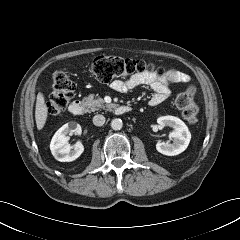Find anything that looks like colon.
Masks as SVG:
<instances>
[{
	"label": "colon",
	"instance_id": "obj_1",
	"mask_svg": "<svg viewBox=\"0 0 240 240\" xmlns=\"http://www.w3.org/2000/svg\"><path fill=\"white\" fill-rule=\"evenodd\" d=\"M92 75L101 83H110L114 79L128 78L142 73H157L170 78V73H165L162 68H155L144 60H135L115 56H98L90 64ZM52 94L47 103V113L50 116L60 115L67 107L75 94V83L62 71L53 73L51 78ZM196 89L188 87L176 98V105L182 112L186 121H197L199 108L195 102Z\"/></svg>",
	"mask_w": 240,
	"mask_h": 240
}]
</instances>
